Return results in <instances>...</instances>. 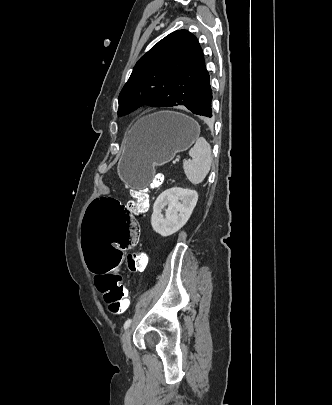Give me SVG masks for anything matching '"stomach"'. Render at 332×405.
<instances>
[{"mask_svg":"<svg viewBox=\"0 0 332 405\" xmlns=\"http://www.w3.org/2000/svg\"><path fill=\"white\" fill-rule=\"evenodd\" d=\"M199 135L198 123L179 112L161 111L140 118L131 128L118 162L120 179L131 189L148 186L155 166L167 164L178 152L189 149Z\"/></svg>","mask_w":332,"mask_h":405,"instance_id":"obj_1","label":"stomach"}]
</instances>
